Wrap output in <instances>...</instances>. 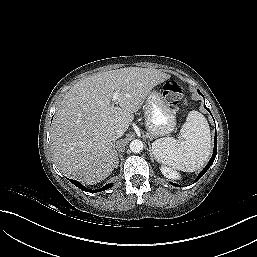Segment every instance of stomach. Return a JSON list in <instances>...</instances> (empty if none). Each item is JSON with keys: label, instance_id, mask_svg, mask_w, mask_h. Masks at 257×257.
I'll list each match as a JSON object with an SVG mask.
<instances>
[{"label": "stomach", "instance_id": "1", "mask_svg": "<svg viewBox=\"0 0 257 257\" xmlns=\"http://www.w3.org/2000/svg\"><path fill=\"white\" fill-rule=\"evenodd\" d=\"M143 109L145 125L152 137L157 138L167 135L175 129V115L161 92L150 91Z\"/></svg>", "mask_w": 257, "mask_h": 257}]
</instances>
